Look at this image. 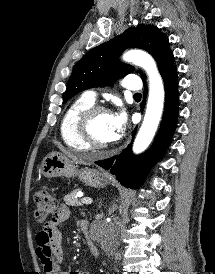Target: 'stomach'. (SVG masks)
I'll list each match as a JSON object with an SVG mask.
<instances>
[{
	"label": "stomach",
	"instance_id": "1",
	"mask_svg": "<svg viewBox=\"0 0 215 274\" xmlns=\"http://www.w3.org/2000/svg\"><path fill=\"white\" fill-rule=\"evenodd\" d=\"M41 172L47 178L56 176L78 178L88 186L102 188L109 183L108 176L97 169H79L70 158L59 152L49 153L41 164Z\"/></svg>",
	"mask_w": 215,
	"mask_h": 274
}]
</instances>
